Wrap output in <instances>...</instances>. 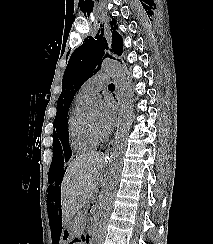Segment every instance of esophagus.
Instances as JSON below:
<instances>
[{
	"mask_svg": "<svg viewBox=\"0 0 213 244\" xmlns=\"http://www.w3.org/2000/svg\"><path fill=\"white\" fill-rule=\"evenodd\" d=\"M119 116H120V114H119V110H118V111L116 112V128L119 127ZM113 142H114V141H111V142H110L108 148H107L106 151H105V155H106V157L109 156V154L111 153V151H112V149H113V146H114V143H113Z\"/></svg>",
	"mask_w": 213,
	"mask_h": 244,
	"instance_id": "34e87169",
	"label": "esophagus"
}]
</instances>
